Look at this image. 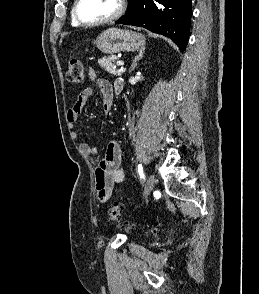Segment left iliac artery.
<instances>
[{
  "label": "left iliac artery",
  "mask_w": 259,
  "mask_h": 294,
  "mask_svg": "<svg viewBox=\"0 0 259 294\" xmlns=\"http://www.w3.org/2000/svg\"><path fill=\"white\" fill-rule=\"evenodd\" d=\"M138 173L142 179H145V175L143 173V167L141 164L138 165Z\"/></svg>",
  "instance_id": "left-iliac-artery-1"
}]
</instances>
